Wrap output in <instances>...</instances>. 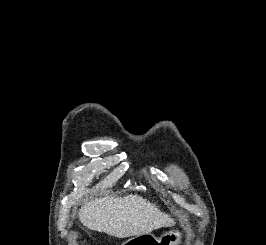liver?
Masks as SVG:
<instances>
[{
  "label": "liver",
  "mask_w": 266,
  "mask_h": 245,
  "mask_svg": "<svg viewBox=\"0 0 266 245\" xmlns=\"http://www.w3.org/2000/svg\"><path fill=\"white\" fill-rule=\"evenodd\" d=\"M79 221L98 233L125 239L135 235H149L155 229L171 227L174 219L161 213L150 201L139 195H106L85 203L78 213Z\"/></svg>",
  "instance_id": "obj_1"
}]
</instances>
